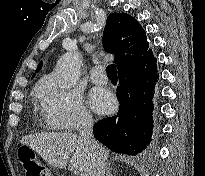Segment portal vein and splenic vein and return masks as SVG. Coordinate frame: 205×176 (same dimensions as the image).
Instances as JSON below:
<instances>
[{"label": "portal vein and splenic vein", "instance_id": "obj_1", "mask_svg": "<svg viewBox=\"0 0 205 176\" xmlns=\"http://www.w3.org/2000/svg\"><path fill=\"white\" fill-rule=\"evenodd\" d=\"M80 176H88L87 174H85V173H82Z\"/></svg>", "mask_w": 205, "mask_h": 176}]
</instances>
